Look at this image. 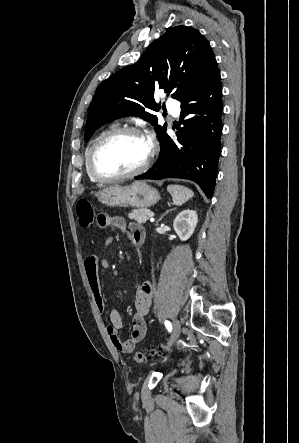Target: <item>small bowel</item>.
Listing matches in <instances>:
<instances>
[{
  "label": "small bowel",
  "instance_id": "obj_1",
  "mask_svg": "<svg viewBox=\"0 0 299 443\" xmlns=\"http://www.w3.org/2000/svg\"><path fill=\"white\" fill-rule=\"evenodd\" d=\"M97 224L101 228H116L130 236V242L144 241L145 230L142 225L131 222L129 224L120 217L102 213L97 217ZM113 242V237L106 239L104 245L109 246ZM88 285L93 294L98 310L103 313L106 310L105 298L101 292L99 269L107 270L110 263L107 259L97 255L89 256L84 263ZM153 284L150 280L145 281L136 291L134 298L135 313L132 318V332L128 339H121L119 331L123 327V321L117 309L111 308L108 312L110 324L106 327L107 334L114 348L124 354L131 353L136 345L144 338L147 330L145 317L149 314L152 305Z\"/></svg>",
  "mask_w": 299,
  "mask_h": 443
}]
</instances>
